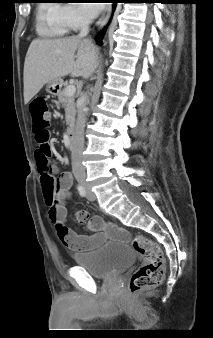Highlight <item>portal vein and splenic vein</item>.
<instances>
[{
    "mask_svg": "<svg viewBox=\"0 0 213 338\" xmlns=\"http://www.w3.org/2000/svg\"><path fill=\"white\" fill-rule=\"evenodd\" d=\"M76 92L75 85H69L65 88V94L66 96H73Z\"/></svg>",
    "mask_w": 213,
    "mask_h": 338,
    "instance_id": "18ae733b",
    "label": "portal vein and splenic vein"
}]
</instances>
